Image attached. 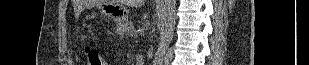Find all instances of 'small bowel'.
Returning a JSON list of instances; mask_svg holds the SVG:
<instances>
[{
    "instance_id": "obj_1",
    "label": "small bowel",
    "mask_w": 309,
    "mask_h": 65,
    "mask_svg": "<svg viewBox=\"0 0 309 65\" xmlns=\"http://www.w3.org/2000/svg\"><path fill=\"white\" fill-rule=\"evenodd\" d=\"M103 65H110V63L108 61H103Z\"/></svg>"
}]
</instances>
